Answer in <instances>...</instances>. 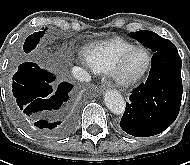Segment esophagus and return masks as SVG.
Wrapping results in <instances>:
<instances>
[{
  "mask_svg": "<svg viewBox=\"0 0 190 165\" xmlns=\"http://www.w3.org/2000/svg\"><path fill=\"white\" fill-rule=\"evenodd\" d=\"M112 87V84L110 82H106L105 84L102 85L101 89L106 90L110 89Z\"/></svg>",
  "mask_w": 190,
  "mask_h": 165,
  "instance_id": "1",
  "label": "esophagus"
}]
</instances>
